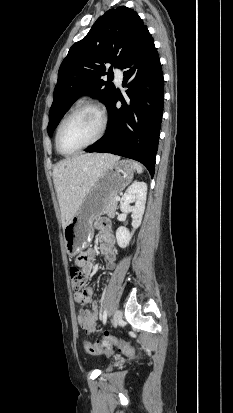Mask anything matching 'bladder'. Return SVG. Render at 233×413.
Here are the masks:
<instances>
[{"label":"bladder","instance_id":"31cf9c89","mask_svg":"<svg viewBox=\"0 0 233 413\" xmlns=\"http://www.w3.org/2000/svg\"><path fill=\"white\" fill-rule=\"evenodd\" d=\"M112 369V367H109L107 370H111Z\"/></svg>","mask_w":233,"mask_h":413}]
</instances>
